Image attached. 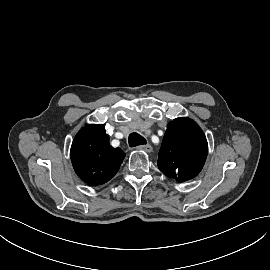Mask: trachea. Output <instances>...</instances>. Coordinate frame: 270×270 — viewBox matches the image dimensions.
<instances>
[{
    "mask_svg": "<svg viewBox=\"0 0 270 270\" xmlns=\"http://www.w3.org/2000/svg\"><path fill=\"white\" fill-rule=\"evenodd\" d=\"M128 142L130 147L145 145L147 143L146 139L141 135H139L138 133H131L129 135Z\"/></svg>",
    "mask_w": 270,
    "mask_h": 270,
    "instance_id": "trachea-1",
    "label": "trachea"
}]
</instances>
